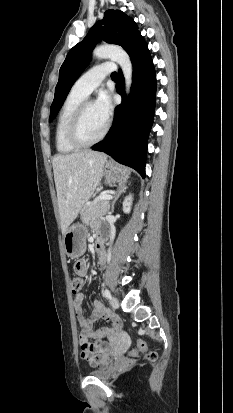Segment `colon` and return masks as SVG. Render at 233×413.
Instances as JSON below:
<instances>
[{
    "instance_id": "obj_1",
    "label": "colon",
    "mask_w": 233,
    "mask_h": 413,
    "mask_svg": "<svg viewBox=\"0 0 233 413\" xmlns=\"http://www.w3.org/2000/svg\"><path fill=\"white\" fill-rule=\"evenodd\" d=\"M70 282H71V288H72L73 293H78L84 287V281L78 275H73L71 277ZM137 351H139V352H145L146 351V344H145L144 341H142V340L138 341ZM148 358L150 360H154L156 358V354L154 352H149L148 353Z\"/></svg>"
}]
</instances>
